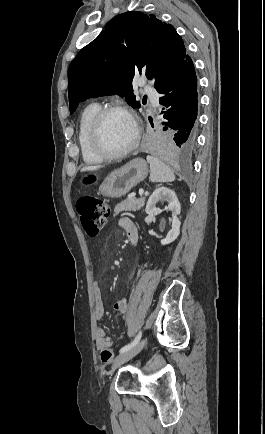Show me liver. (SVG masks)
<instances>
[{"label": "liver", "instance_id": "6515ba94", "mask_svg": "<svg viewBox=\"0 0 265 434\" xmlns=\"http://www.w3.org/2000/svg\"><path fill=\"white\" fill-rule=\"evenodd\" d=\"M99 168H103V166H84L81 172H95V170H99Z\"/></svg>", "mask_w": 265, "mask_h": 434}]
</instances>
